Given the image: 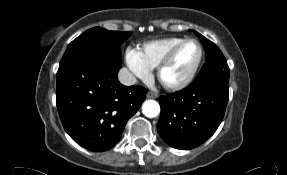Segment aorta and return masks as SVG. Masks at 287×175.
Returning <instances> with one entry per match:
<instances>
[{"label": "aorta", "mask_w": 287, "mask_h": 175, "mask_svg": "<svg viewBox=\"0 0 287 175\" xmlns=\"http://www.w3.org/2000/svg\"><path fill=\"white\" fill-rule=\"evenodd\" d=\"M142 112L148 118H154L160 113V105L155 100H146L142 105Z\"/></svg>", "instance_id": "1"}]
</instances>
